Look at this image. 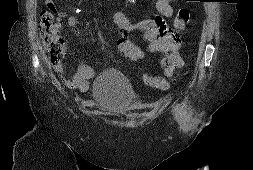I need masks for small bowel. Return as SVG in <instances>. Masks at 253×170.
<instances>
[{"label":"small bowel","mask_w":253,"mask_h":170,"mask_svg":"<svg viewBox=\"0 0 253 170\" xmlns=\"http://www.w3.org/2000/svg\"><path fill=\"white\" fill-rule=\"evenodd\" d=\"M174 1L175 0H157L156 9L158 15L150 19L132 21L122 11H116L112 15L113 22L120 30L117 48L122 55L132 61L141 60L145 57V51L136 46L128 38L129 33L133 30H140L144 33V39L148 44L147 50L149 52L159 53L161 55L159 63L163 68L165 76L155 77L146 73L143 74L144 83L149 85V79H153L159 83L158 87H154L158 89L169 88L175 71L184 66V61L179 54L181 39L178 33L170 29L164 20V18L172 16V3ZM45 4L49 10L57 12L54 22L55 32H59L63 20H66L67 25L74 28L75 35H82V32L76 28L78 23L76 16L67 15L64 11H57L52 0H46ZM178 22V17H176L173 22L174 29L182 30L185 25L183 27H178ZM53 68L60 74L62 80L69 89L78 90L80 92H86L88 90L89 81L95 76L94 70L86 63H81L77 71L71 77L65 76L66 68L63 63H54Z\"/></svg>","instance_id":"small-bowel-1"}]
</instances>
